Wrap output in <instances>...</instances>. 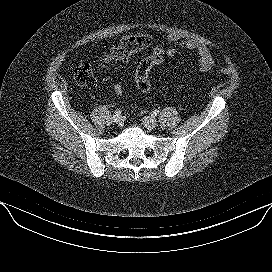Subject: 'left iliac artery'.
I'll list each match as a JSON object with an SVG mask.
<instances>
[{
    "label": "left iliac artery",
    "mask_w": 272,
    "mask_h": 272,
    "mask_svg": "<svg viewBox=\"0 0 272 272\" xmlns=\"http://www.w3.org/2000/svg\"><path fill=\"white\" fill-rule=\"evenodd\" d=\"M153 114H154V115H158V114H159V111H158V110H154V111H153Z\"/></svg>",
    "instance_id": "obj_1"
}]
</instances>
